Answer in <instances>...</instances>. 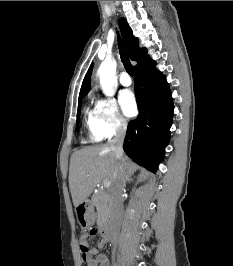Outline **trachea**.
<instances>
[{"instance_id": "obj_1", "label": "trachea", "mask_w": 233, "mask_h": 266, "mask_svg": "<svg viewBox=\"0 0 233 266\" xmlns=\"http://www.w3.org/2000/svg\"><path fill=\"white\" fill-rule=\"evenodd\" d=\"M118 45H119V51H120V55H121V60L124 64V68L127 71V73L131 76H133V66L130 63V60L126 54V51L124 49L123 43L121 41V38L118 37Z\"/></svg>"}]
</instances>
